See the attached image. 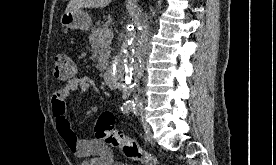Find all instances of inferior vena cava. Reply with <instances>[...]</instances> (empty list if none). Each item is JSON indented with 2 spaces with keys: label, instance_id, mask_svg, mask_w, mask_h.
Returning a JSON list of instances; mask_svg holds the SVG:
<instances>
[{
  "label": "inferior vena cava",
  "instance_id": "obj_1",
  "mask_svg": "<svg viewBox=\"0 0 276 165\" xmlns=\"http://www.w3.org/2000/svg\"><path fill=\"white\" fill-rule=\"evenodd\" d=\"M142 93V89L137 87V94L133 95V98L136 102L140 101V94Z\"/></svg>",
  "mask_w": 276,
  "mask_h": 165
}]
</instances>
